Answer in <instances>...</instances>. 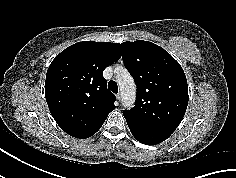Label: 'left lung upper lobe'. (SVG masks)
I'll list each match as a JSON object with an SVG mask.
<instances>
[{"label":"left lung upper lobe","mask_w":236,"mask_h":178,"mask_svg":"<svg viewBox=\"0 0 236 178\" xmlns=\"http://www.w3.org/2000/svg\"><path fill=\"white\" fill-rule=\"evenodd\" d=\"M122 50L124 65L137 86L135 106L123 111L126 121L172 134L188 104V85L182 67L152 42H124Z\"/></svg>","instance_id":"5c2ea615"}]
</instances>
